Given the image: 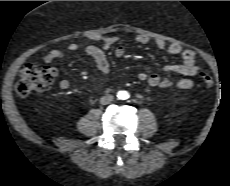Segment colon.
<instances>
[{"label":"colon","instance_id":"colon-1","mask_svg":"<svg viewBox=\"0 0 230 186\" xmlns=\"http://www.w3.org/2000/svg\"><path fill=\"white\" fill-rule=\"evenodd\" d=\"M56 75L57 70L54 67L28 64L21 71L20 78L16 84V93L25 97L42 91L52 84ZM196 75L205 87L211 88L214 85L213 79L206 73L199 71Z\"/></svg>","mask_w":230,"mask_h":186}]
</instances>
